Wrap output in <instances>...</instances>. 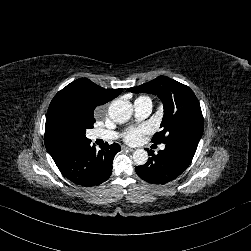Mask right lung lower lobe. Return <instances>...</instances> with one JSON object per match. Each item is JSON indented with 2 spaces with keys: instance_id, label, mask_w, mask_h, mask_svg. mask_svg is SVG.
<instances>
[{
  "instance_id": "obj_1",
  "label": "right lung lower lobe",
  "mask_w": 251,
  "mask_h": 251,
  "mask_svg": "<svg viewBox=\"0 0 251 251\" xmlns=\"http://www.w3.org/2000/svg\"><path fill=\"white\" fill-rule=\"evenodd\" d=\"M91 140L63 144L55 149L52 156L60 172L70 181L82 186H95L106 181L112 172L115 154L120 145L105 144L96 151Z\"/></svg>"
}]
</instances>
